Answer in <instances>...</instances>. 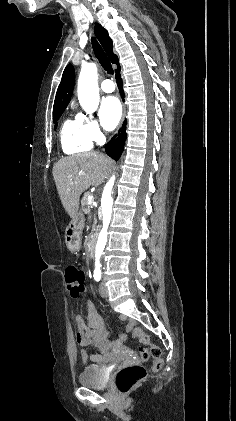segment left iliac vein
I'll list each match as a JSON object with an SVG mask.
<instances>
[{
	"instance_id": "4c4485c4",
	"label": "left iliac vein",
	"mask_w": 236,
	"mask_h": 421,
	"mask_svg": "<svg viewBox=\"0 0 236 421\" xmlns=\"http://www.w3.org/2000/svg\"><path fill=\"white\" fill-rule=\"evenodd\" d=\"M99 292H100V295L102 296V297H108V290H107V288L105 287V281L103 280L102 281V283H101V285H100V287H99Z\"/></svg>"
}]
</instances>
